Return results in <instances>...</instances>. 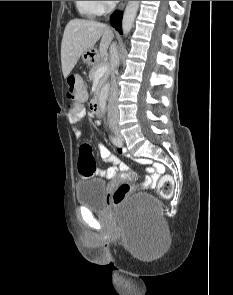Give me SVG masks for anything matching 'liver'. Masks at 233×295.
I'll list each match as a JSON object with an SVG mask.
<instances>
[{"label":"liver","mask_w":233,"mask_h":295,"mask_svg":"<svg viewBox=\"0 0 233 295\" xmlns=\"http://www.w3.org/2000/svg\"><path fill=\"white\" fill-rule=\"evenodd\" d=\"M101 38L98 59L104 58L113 38V32L106 24L83 19H73L65 27L61 43V64L64 78H67L80 56L93 48Z\"/></svg>","instance_id":"1"}]
</instances>
